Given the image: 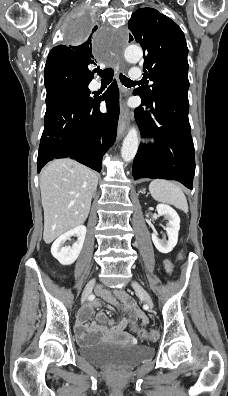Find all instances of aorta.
<instances>
[{
	"label": "aorta",
	"instance_id": "obj_1",
	"mask_svg": "<svg viewBox=\"0 0 228 396\" xmlns=\"http://www.w3.org/2000/svg\"><path fill=\"white\" fill-rule=\"evenodd\" d=\"M143 53L138 46H127L124 50L125 59L129 62H137L141 59ZM139 146L138 133L135 128H131L126 135L122 149L121 156L124 161L130 162L134 159Z\"/></svg>",
	"mask_w": 228,
	"mask_h": 396
}]
</instances>
